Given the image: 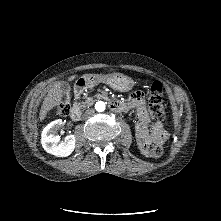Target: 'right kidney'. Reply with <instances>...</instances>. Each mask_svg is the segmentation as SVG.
Listing matches in <instances>:
<instances>
[{
    "mask_svg": "<svg viewBox=\"0 0 221 221\" xmlns=\"http://www.w3.org/2000/svg\"><path fill=\"white\" fill-rule=\"evenodd\" d=\"M62 125L61 119L48 124L42 131L41 144L47 153L58 157H67L74 151L76 139L74 135H68L60 141L57 132Z\"/></svg>",
    "mask_w": 221,
    "mask_h": 221,
    "instance_id": "1",
    "label": "right kidney"
}]
</instances>
